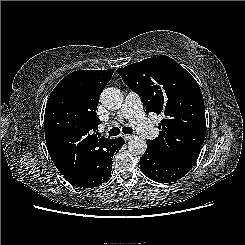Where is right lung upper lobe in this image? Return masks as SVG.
<instances>
[{"mask_svg":"<svg viewBox=\"0 0 245 245\" xmlns=\"http://www.w3.org/2000/svg\"><path fill=\"white\" fill-rule=\"evenodd\" d=\"M113 73L114 69L75 71L53 89L46 104L44 130L54 163L81 168L91 150L111 140L97 136L101 121L96 109Z\"/></svg>","mask_w":245,"mask_h":245,"instance_id":"1","label":"right lung upper lobe"}]
</instances>
